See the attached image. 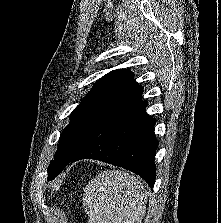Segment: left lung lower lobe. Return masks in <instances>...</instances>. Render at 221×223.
I'll return each instance as SVG.
<instances>
[{
	"mask_svg": "<svg viewBox=\"0 0 221 223\" xmlns=\"http://www.w3.org/2000/svg\"><path fill=\"white\" fill-rule=\"evenodd\" d=\"M147 104L141 100L72 161L96 159L120 166L141 176L152 188L158 142L154 136L156 121L145 112Z\"/></svg>",
	"mask_w": 221,
	"mask_h": 223,
	"instance_id": "left-lung-lower-lobe-1",
	"label": "left lung lower lobe"
}]
</instances>
